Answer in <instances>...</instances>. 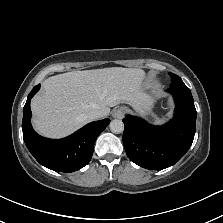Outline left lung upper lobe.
Instances as JSON below:
<instances>
[{"mask_svg": "<svg viewBox=\"0 0 223 223\" xmlns=\"http://www.w3.org/2000/svg\"><path fill=\"white\" fill-rule=\"evenodd\" d=\"M171 77V84L170 87H177V88H188L182 81V79L174 73H169Z\"/></svg>", "mask_w": 223, "mask_h": 223, "instance_id": "left-lung-upper-lobe-1", "label": "left lung upper lobe"}]
</instances>
